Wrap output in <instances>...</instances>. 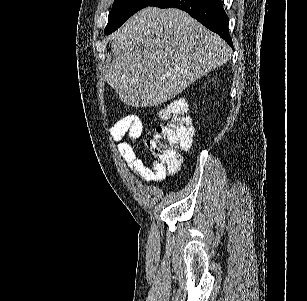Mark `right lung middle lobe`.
<instances>
[{
	"mask_svg": "<svg viewBox=\"0 0 307 301\" xmlns=\"http://www.w3.org/2000/svg\"><path fill=\"white\" fill-rule=\"evenodd\" d=\"M155 1L156 0H115L113 8L108 16L105 34H111L134 13L142 8L150 6Z\"/></svg>",
	"mask_w": 307,
	"mask_h": 301,
	"instance_id": "1",
	"label": "right lung middle lobe"
}]
</instances>
